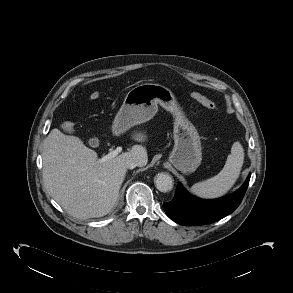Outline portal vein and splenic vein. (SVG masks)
Returning a JSON list of instances; mask_svg holds the SVG:
<instances>
[{
    "label": "portal vein and splenic vein",
    "mask_w": 293,
    "mask_h": 293,
    "mask_svg": "<svg viewBox=\"0 0 293 293\" xmlns=\"http://www.w3.org/2000/svg\"><path fill=\"white\" fill-rule=\"evenodd\" d=\"M122 151V147H117L115 150L109 152L107 155L102 157V161H106L116 157Z\"/></svg>",
    "instance_id": "1"
}]
</instances>
